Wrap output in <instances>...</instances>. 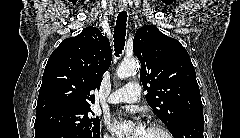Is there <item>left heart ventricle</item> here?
<instances>
[{"label":"left heart ventricle","mask_w":240,"mask_h":138,"mask_svg":"<svg viewBox=\"0 0 240 138\" xmlns=\"http://www.w3.org/2000/svg\"><path fill=\"white\" fill-rule=\"evenodd\" d=\"M143 138H164V136L160 132L147 129Z\"/></svg>","instance_id":"b2bd125f"}]
</instances>
